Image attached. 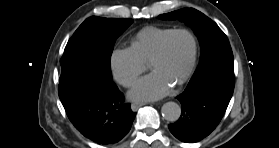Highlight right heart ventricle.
I'll use <instances>...</instances> for the list:
<instances>
[{
  "label": "right heart ventricle",
  "instance_id": "1",
  "mask_svg": "<svg viewBox=\"0 0 279 148\" xmlns=\"http://www.w3.org/2000/svg\"><path fill=\"white\" fill-rule=\"evenodd\" d=\"M172 30L159 27H146L136 34L132 42V48L144 62L149 63L162 39Z\"/></svg>",
  "mask_w": 279,
  "mask_h": 148
}]
</instances>
